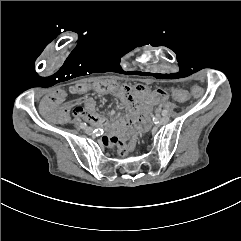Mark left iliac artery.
Segmentation results:
<instances>
[{
	"mask_svg": "<svg viewBox=\"0 0 241 241\" xmlns=\"http://www.w3.org/2000/svg\"><path fill=\"white\" fill-rule=\"evenodd\" d=\"M167 114H168L167 110H163V111H162V115H163V116H166Z\"/></svg>",
	"mask_w": 241,
	"mask_h": 241,
	"instance_id": "left-iliac-artery-1",
	"label": "left iliac artery"
}]
</instances>
